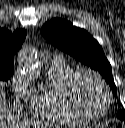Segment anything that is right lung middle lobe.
<instances>
[{"label":"right lung middle lobe","mask_w":125,"mask_h":128,"mask_svg":"<svg viewBox=\"0 0 125 128\" xmlns=\"http://www.w3.org/2000/svg\"><path fill=\"white\" fill-rule=\"evenodd\" d=\"M14 71L13 66L0 65V80L7 81Z\"/></svg>","instance_id":"dd1d6c3e"}]
</instances>
